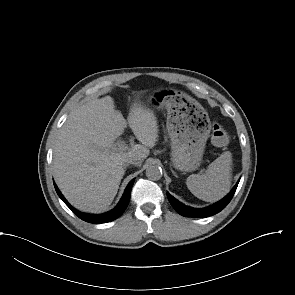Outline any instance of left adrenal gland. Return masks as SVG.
Wrapping results in <instances>:
<instances>
[{"mask_svg": "<svg viewBox=\"0 0 295 295\" xmlns=\"http://www.w3.org/2000/svg\"><path fill=\"white\" fill-rule=\"evenodd\" d=\"M171 171H172L173 175L177 177V175L175 174V172L173 170H171Z\"/></svg>", "mask_w": 295, "mask_h": 295, "instance_id": "1", "label": "left adrenal gland"}]
</instances>
